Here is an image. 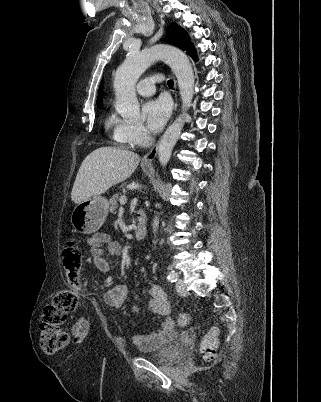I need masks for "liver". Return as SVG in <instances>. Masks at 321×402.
Listing matches in <instances>:
<instances>
[{"label": "liver", "mask_w": 321, "mask_h": 402, "mask_svg": "<svg viewBox=\"0 0 321 402\" xmlns=\"http://www.w3.org/2000/svg\"><path fill=\"white\" fill-rule=\"evenodd\" d=\"M140 161L137 153L116 147H100L82 162L71 199L78 204L106 192L131 176Z\"/></svg>", "instance_id": "6515ba94"}]
</instances>
